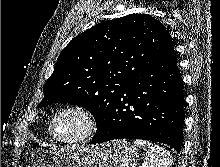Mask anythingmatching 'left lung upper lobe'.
I'll return each instance as SVG.
<instances>
[{
  "mask_svg": "<svg viewBox=\"0 0 220 167\" xmlns=\"http://www.w3.org/2000/svg\"><path fill=\"white\" fill-rule=\"evenodd\" d=\"M173 52L168 30L150 15L104 21L63 49L38 107L54 102L82 106L93 114L98 132L128 81Z\"/></svg>",
  "mask_w": 220,
  "mask_h": 167,
  "instance_id": "obj_1",
  "label": "left lung upper lobe"
}]
</instances>
